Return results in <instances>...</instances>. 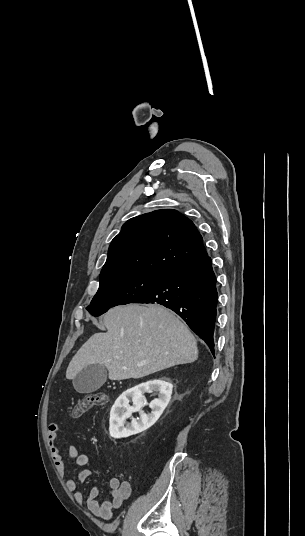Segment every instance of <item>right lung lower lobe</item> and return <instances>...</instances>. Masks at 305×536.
Masks as SVG:
<instances>
[{
	"label": "right lung lower lobe",
	"instance_id": "obj_1",
	"mask_svg": "<svg viewBox=\"0 0 305 536\" xmlns=\"http://www.w3.org/2000/svg\"><path fill=\"white\" fill-rule=\"evenodd\" d=\"M133 303H158L176 312L201 337L214 354L216 277L210 257L169 274Z\"/></svg>",
	"mask_w": 305,
	"mask_h": 536
}]
</instances>
